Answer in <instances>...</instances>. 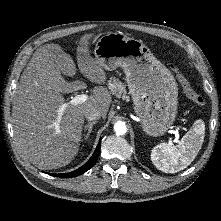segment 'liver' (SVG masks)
I'll return each mask as SVG.
<instances>
[{
	"mask_svg": "<svg viewBox=\"0 0 221 221\" xmlns=\"http://www.w3.org/2000/svg\"><path fill=\"white\" fill-rule=\"evenodd\" d=\"M93 34L80 38L76 58L78 68L91 82L104 84L102 64L89 54ZM63 75L73 77L76 65L58 44L40 46L21 75L13 96L12 126L16 145L40 169L68 165L79 151L85 113L98 110L106 118L112 97L102 86L84 103L68 105L61 116L65 99L57 89Z\"/></svg>",
	"mask_w": 221,
	"mask_h": 221,
	"instance_id": "obj_1",
	"label": "liver"
}]
</instances>
